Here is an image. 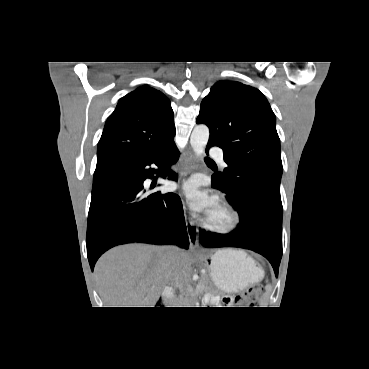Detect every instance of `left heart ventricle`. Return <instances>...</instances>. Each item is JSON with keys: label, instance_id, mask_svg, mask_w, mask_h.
I'll list each match as a JSON object with an SVG mask.
<instances>
[{"label": "left heart ventricle", "instance_id": "obj_1", "mask_svg": "<svg viewBox=\"0 0 369 369\" xmlns=\"http://www.w3.org/2000/svg\"><path fill=\"white\" fill-rule=\"evenodd\" d=\"M207 214L208 217L216 223L221 224L226 221V216L222 212L217 210L215 206H213Z\"/></svg>", "mask_w": 369, "mask_h": 369}]
</instances>
